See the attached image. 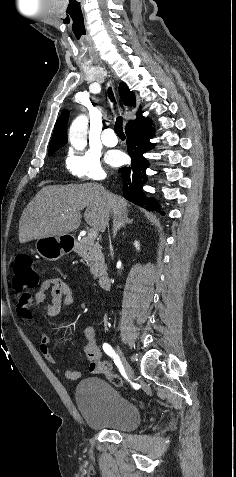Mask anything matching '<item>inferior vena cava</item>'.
Segmentation results:
<instances>
[{"mask_svg": "<svg viewBox=\"0 0 236 477\" xmlns=\"http://www.w3.org/2000/svg\"><path fill=\"white\" fill-rule=\"evenodd\" d=\"M108 222H109V212L107 209H105L104 211V218H103V226L104 228H106L108 226Z\"/></svg>", "mask_w": 236, "mask_h": 477, "instance_id": "602c4592", "label": "inferior vena cava"}]
</instances>
